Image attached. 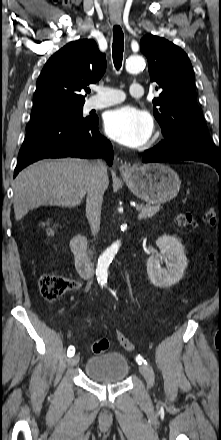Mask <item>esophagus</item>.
<instances>
[{
  "label": "esophagus",
  "instance_id": "esophagus-1",
  "mask_svg": "<svg viewBox=\"0 0 221 440\" xmlns=\"http://www.w3.org/2000/svg\"><path fill=\"white\" fill-rule=\"evenodd\" d=\"M111 21L116 25H120L122 23V18L112 17ZM119 171L122 175H127L132 171V167L129 163H121V165L119 166Z\"/></svg>",
  "mask_w": 221,
  "mask_h": 440
}]
</instances>
